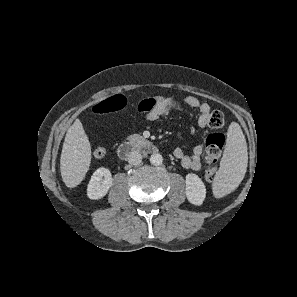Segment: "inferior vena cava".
Instances as JSON below:
<instances>
[{
    "instance_id": "obj_1",
    "label": "inferior vena cava",
    "mask_w": 297,
    "mask_h": 297,
    "mask_svg": "<svg viewBox=\"0 0 297 297\" xmlns=\"http://www.w3.org/2000/svg\"><path fill=\"white\" fill-rule=\"evenodd\" d=\"M142 161V155L138 151H132L128 155V163L131 165H138Z\"/></svg>"
}]
</instances>
